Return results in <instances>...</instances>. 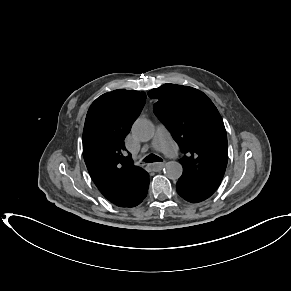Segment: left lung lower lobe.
Segmentation results:
<instances>
[{
	"mask_svg": "<svg viewBox=\"0 0 291 291\" xmlns=\"http://www.w3.org/2000/svg\"><path fill=\"white\" fill-rule=\"evenodd\" d=\"M176 190L183 199L191 203L204 201L214 193L183 177H180L176 183Z\"/></svg>",
	"mask_w": 291,
	"mask_h": 291,
	"instance_id": "0a47b994",
	"label": "left lung lower lobe"
}]
</instances>
